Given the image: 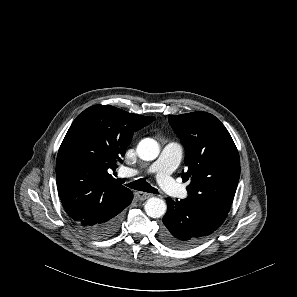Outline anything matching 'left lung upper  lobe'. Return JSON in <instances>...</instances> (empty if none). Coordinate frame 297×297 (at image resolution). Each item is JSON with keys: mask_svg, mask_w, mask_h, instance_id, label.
I'll list each match as a JSON object with an SVG mask.
<instances>
[{"mask_svg": "<svg viewBox=\"0 0 297 297\" xmlns=\"http://www.w3.org/2000/svg\"><path fill=\"white\" fill-rule=\"evenodd\" d=\"M169 122L182 140L186 155L183 181L187 203L203 212H229L240 177L237 148L225 126L212 114L192 112L169 116Z\"/></svg>", "mask_w": 297, "mask_h": 297, "instance_id": "1", "label": "left lung upper lobe"}]
</instances>
